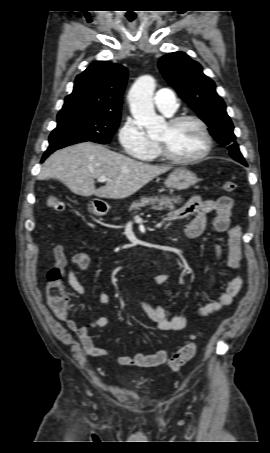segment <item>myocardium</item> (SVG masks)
<instances>
[{"mask_svg": "<svg viewBox=\"0 0 270 453\" xmlns=\"http://www.w3.org/2000/svg\"><path fill=\"white\" fill-rule=\"evenodd\" d=\"M187 121L194 122L201 128V131L203 133L204 140H205L204 149L199 154H197L193 157L181 158V157H177V156L173 155L169 151V149L165 143L157 141L156 144L158 146L160 156L163 159H165L171 163H174V164H192V163H196V162H199L200 160L204 159L210 153V151L212 149V137H211L208 125L206 124V122L203 119H201L197 116H194V115H179V116L170 118L168 120L167 124L169 127L173 128V127H176L179 124H181L183 122H187Z\"/></svg>", "mask_w": 270, "mask_h": 453, "instance_id": "f54148a6", "label": "myocardium"}]
</instances>
